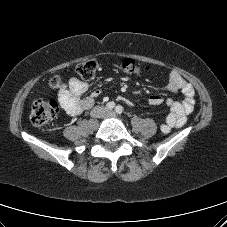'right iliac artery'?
<instances>
[{
  "mask_svg": "<svg viewBox=\"0 0 227 227\" xmlns=\"http://www.w3.org/2000/svg\"><path fill=\"white\" fill-rule=\"evenodd\" d=\"M107 109L112 110L115 107V103L113 101L108 102L106 104Z\"/></svg>",
  "mask_w": 227,
  "mask_h": 227,
  "instance_id": "1",
  "label": "right iliac artery"
}]
</instances>
